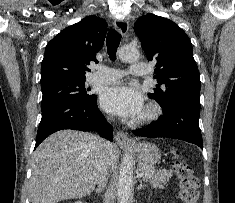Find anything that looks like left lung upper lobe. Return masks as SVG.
I'll return each instance as SVG.
<instances>
[{"mask_svg":"<svg viewBox=\"0 0 235 203\" xmlns=\"http://www.w3.org/2000/svg\"><path fill=\"white\" fill-rule=\"evenodd\" d=\"M134 30L148 61L157 60L154 73L159 84L148 96L162 108L183 99L200 102V75L185 32L173 21L154 14L138 18Z\"/></svg>","mask_w":235,"mask_h":203,"instance_id":"5c2ea615","label":"left lung upper lobe"}]
</instances>
